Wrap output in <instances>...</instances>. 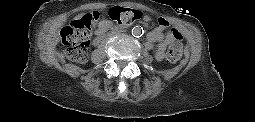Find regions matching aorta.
Returning a JSON list of instances; mask_svg holds the SVG:
<instances>
[{"label":"aorta","instance_id":"762f6f07","mask_svg":"<svg viewBox=\"0 0 255 122\" xmlns=\"http://www.w3.org/2000/svg\"><path fill=\"white\" fill-rule=\"evenodd\" d=\"M131 33L134 37H141L144 33V30L141 26H135L132 28Z\"/></svg>","mask_w":255,"mask_h":122}]
</instances>
